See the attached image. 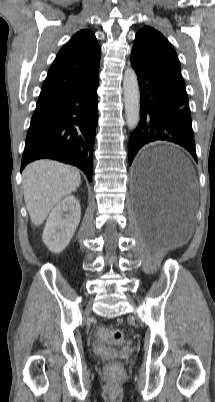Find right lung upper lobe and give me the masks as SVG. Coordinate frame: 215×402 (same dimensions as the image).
<instances>
[{
	"instance_id": "right-lung-upper-lobe-1",
	"label": "right lung upper lobe",
	"mask_w": 215,
	"mask_h": 402,
	"mask_svg": "<svg viewBox=\"0 0 215 402\" xmlns=\"http://www.w3.org/2000/svg\"><path fill=\"white\" fill-rule=\"evenodd\" d=\"M100 47L95 35L81 30L62 47L43 83L37 104H48L99 75Z\"/></svg>"
}]
</instances>
